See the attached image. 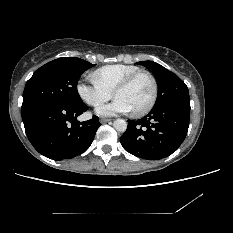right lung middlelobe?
I'll return each mask as SVG.
<instances>
[{
    "instance_id": "1",
    "label": "right lung middle lobe",
    "mask_w": 233,
    "mask_h": 233,
    "mask_svg": "<svg viewBox=\"0 0 233 233\" xmlns=\"http://www.w3.org/2000/svg\"><path fill=\"white\" fill-rule=\"evenodd\" d=\"M93 66L75 57H62L43 65L26 83L21 110L45 102L80 105L83 101L77 83L82 73Z\"/></svg>"
}]
</instances>
